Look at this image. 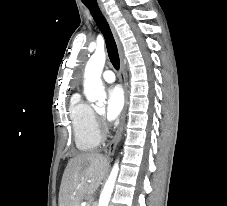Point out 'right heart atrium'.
Masks as SVG:
<instances>
[{
  "mask_svg": "<svg viewBox=\"0 0 227 206\" xmlns=\"http://www.w3.org/2000/svg\"><path fill=\"white\" fill-rule=\"evenodd\" d=\"M96 123H97V125H98V123H99V120H98V119H96Z\"/></svg>",
  "mask_w": 227,
  "mask_h": 206,
  "instance_id": "d8ad5b80",
  "label": "right heart atrium"
}]
</instances>
